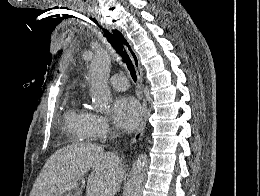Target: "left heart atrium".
<instances>
[{"label":"left heart atrium","mask_w":260,"mask_h":196,"mask_svg":"<svg viewBox=\"0 0 260 196\" xmlns=\"http://www.w3.org/2000/svg\"><path fill=\"white\" fill-rule=\"evenodd\" d=\"M142 108L130 96H120L113 103V120L124 131L133 130L142 118Z\"/></svg>","instance_id":"1"}]
</instances>
